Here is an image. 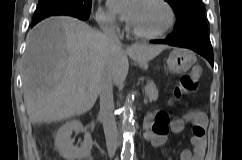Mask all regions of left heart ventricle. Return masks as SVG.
Instances as JSON below:
<instances>
[{
    "label": "left heart ventricle",
    "instance_id": "1",
    "mask_svg": "<svg viewBox=\"0 0 242 160\" xmlns=\"http://www.w3.org/2000/svg\"><path fill=\"white\" fill-rule=\"evenodd\" d=\"M169 21L167 9L154 0H140L130 25L142 32L152 34L161 31Z\"/></svg>",
    "mask_w": 242,
    "mask_h": 160
}]
</instances>
